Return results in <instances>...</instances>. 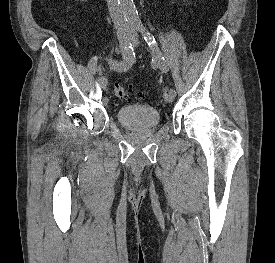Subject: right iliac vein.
<instances>
[{
    "label": "right iliac vein",
    "mask_w": 275,
    "mask_h": 263,
    "mask_svg": "<svg viewBox=\"0 0 275 263\" xmlns=\"http://www.w3.org/2000/svg\"><path fill=\"white\" fill-rule=\"evenodd\" d=\"M128 44H129V40L127 38H121L119 40V45H120V48H121L122 52L125 50V48ZM98 82H99L102 89L105 90L107 88L108 81H107L106 77H99Z\"/></svg>",
    "instance_id": "1"
}]
</instances>
